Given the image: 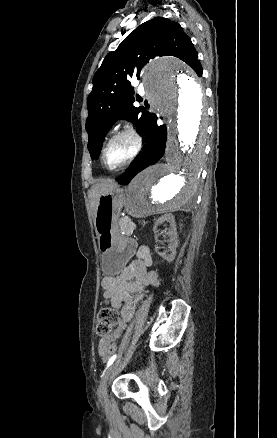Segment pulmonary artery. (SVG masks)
<instances>
[{
    "instance_id": "obj_1",
    "label": "pulmonary artery",
    "mask_w": 277,
    "mask_h": 438,
    "mask_svg": "<svg viewBox=\"0 0 277 438\" xmlns=\"http://www.w3.org/2000/svg\"><path fill=\"white\" fill-rule=\"evenodd\" d=\"M131 85L136 86L139 83V80H130Z\"/></svg>"
}]
</instances>
